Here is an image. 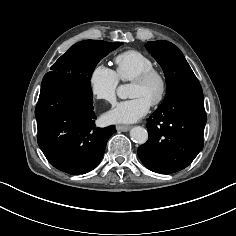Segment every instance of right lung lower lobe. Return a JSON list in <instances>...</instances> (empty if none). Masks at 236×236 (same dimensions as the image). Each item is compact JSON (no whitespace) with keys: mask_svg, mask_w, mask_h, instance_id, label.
Listing matches in <instances>:
<instances>
[{"mask_svg":"<svg viewBox=\"0 0 236 236\" xmlns=\"http://www.w3.org/2000/svg\"><path fill=\"white\" fill-rule=\"evenodd\" d=\"M38 145L49 163L68 174L93 170L113 125L95 127L91 86L62 75H45L35 109Z\"/></svg>","mask_w":236,"mask_h":236,"instance_id":"right-lung-lower-lobe-1","label":"right lung lower lobe"}]
</instances>
